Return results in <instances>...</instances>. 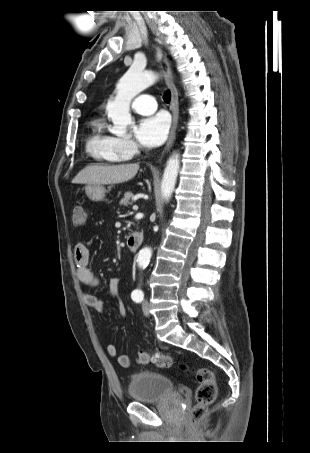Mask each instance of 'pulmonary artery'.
<instances>
[{"instance_id": "1", "label": "pulmonary artery", "mask_w": 310, "mask_h": 453, "mask_svg": "<svg viewBox=\"0 0 310 453\" xmlns=\"http://www.w3.org/2000/svg\"><path fill=\"white\" fill-rule=\"evenodd\" d=\"M131 105L135 112L142 115L151 114L157 108V103L154 97L147 94H142L135 97Z\"/></svg>"}]
</instances>
